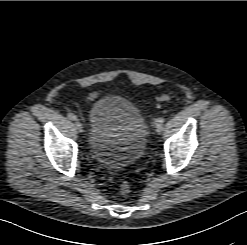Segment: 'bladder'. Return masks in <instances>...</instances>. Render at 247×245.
Segmentation results:
<instances>
[{"label":"bladder","instance_id":"31cf9c89","mask_svg":"<svg viewBox=\"0 0 247 245\" xmlns=\"http://www.w3.org/2000/svg\"><path fill=\"white\" fill-rule=\"evenodd\" d=\"M89 141L97 160L108 169L135 165L147 145V124L139 109L118 95L96 99L89 110Z\"/></svg>","mask_w":247,"mask_h":245}]
</instances>
